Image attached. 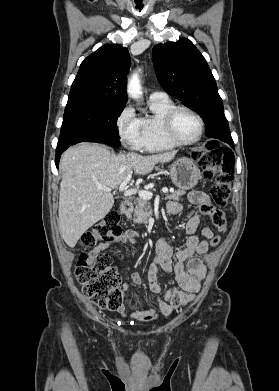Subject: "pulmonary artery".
Listing matches in <instances>:
<instances>
[{
  "instance_id": "e3ab8cb5",
  "label": "pulmonary artery",
  "mask_w": 279,
  "mask_h": 391,
  "mask_svg": "<svg viewBox=\"0 0 279 391\" xmlns=\"http://www.w3.org/2000/svg\"><path fill=\"white\" fill-rule=\"evenodd\" d=\"M167 94L162 91H154L151 93L150 98H164Z\"/></svg>"
}]
</instances>
